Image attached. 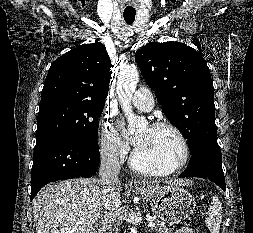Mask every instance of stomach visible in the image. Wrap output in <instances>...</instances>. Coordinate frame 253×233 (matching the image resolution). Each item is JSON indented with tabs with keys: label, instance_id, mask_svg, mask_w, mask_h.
Segmentation results:
<instances>
[{
	"label": "stomach",
	"instance_id": "obj_1",
	"mask_svg": "<svg viewBox=\"0 0 253 233\" xmlns=\"http://www.w3.org/2000/svg\"><path fill=\"white\" fill-rule=\"evenodd\" d=\"M151 204L152 210L165 223L178 224L188 218L196 206L195 198L180 185L165 186L143 182L134 189Z\"/></svg>",
	"mask_w": 253,
	"mask_h": 233
}]
</instances>
